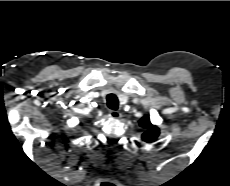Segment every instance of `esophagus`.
Masks as SVG:
<instances>
[{
    "instance_id": "34e87169",
    "label": "esophagus",
    "mask_w": 230,
    "mask_h": 186,
    "mask_svg": "<svg viewBox=\"0 0 230 186\" xmlns=\"http://www.w3.org/2000/svg\"><path fill=\"white\" fill-rule=\"evenodd\" d=\"M109 116L113 119H118L121 117V113L119 111H116V110H111L109 112Z\"/></svg>"
}]
</instances>
